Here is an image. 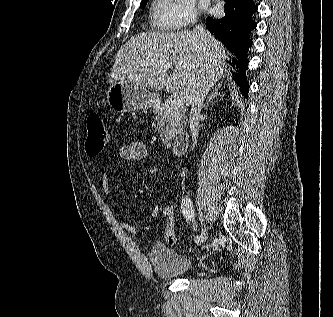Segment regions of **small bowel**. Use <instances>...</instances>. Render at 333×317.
<instances>
[{"label":"small bowel","mask_w":333,"mask_h":317,"mask_svg":"<svg viewBox=\"0 0 333 317\" xmlns=\"http://www.w3.org/2000/svg\"><path fill=\"white\" fill-rule=\"evenodd\" d=\"M116 156L122 162H140L146 161L149 158L148 149L141 141H133L120 146L117 150ZM101 186L104 195L109 198V178L106 170H103L101 175ZM160 209L161 207L159 205L152 209L150 214L151 218H157L159 216ZM121 226L124 230L133 234H139L150 230V226L138 227L127 220H122Z\"/></svg>","instance_id":"small-bowel-1"}]
</instances>
